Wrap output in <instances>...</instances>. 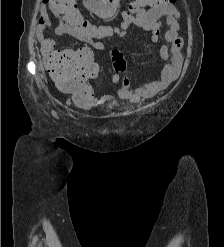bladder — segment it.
I'll list each match as a JSON object with an SVG mask.
<instances>
[{"instance_id":"31cf9c89","label":"bladder","mask_w":224,"mask_h":247,"mask_svg":"<svg viewBox=\"0 0 224 247\" xmlns=\"http://www.w3.org/2000/svg\"><path fill=\"white\" fill-rule=\"evenodd\" d=\"M113 109H114V104H109V105H107L106 108H105V110L108 111V112H109V111H112Z\"/></svg>"}]
</instances>
